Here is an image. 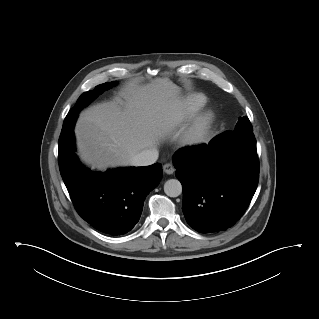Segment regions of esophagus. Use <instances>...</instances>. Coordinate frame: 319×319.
Here are the masks:
<instances>
[{
  "label": "esophagus",
  "instance_id": "34e87169",
  "mask_svg": "<svg viewBox=\"0 0 319 319\" xmlns=\"http://www.w3.org/2000/svg\"><path fill=\"white\" fill-rule=\"evenodd\" d=\"M163 171H164L166 174L171 175V174L174 173L175 168H174V166H173L172 164L167 163V164H165V165L163 166Z\"/></svg>",
  "mask_w": 319,
  "mask_h": 319
}]
</instances>
